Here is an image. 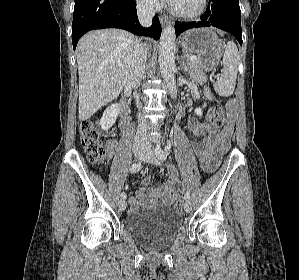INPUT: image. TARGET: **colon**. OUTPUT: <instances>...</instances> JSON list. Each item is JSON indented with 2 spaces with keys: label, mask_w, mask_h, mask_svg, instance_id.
I'll return each instance as SVG.
<instances>
[{
  "label": "colon",
  "mask_w": 299,
  "mask_h": 280,
  "mask_svg": "<svg viewBox=\"0 0 299 280\" xmlns=\"http://www.w3.org/2000/svg\"><path fill=\"white\" fill-rule=\"evenodd\" d=\"M210 116L212 118V122L217 128H220L225 123L226 114L219 106H216L211 110ZM79 131L80 142L89 162L96 165L105 163L107 155L101 142V132L99 126L95 122L87 120L82 122ZM200 163L204 170L208 169V158H200ZM174 207L177 211H181L183 203L181 201H177Z\"/></svg>",
  "instance_id": "1"
}]
</instances>
